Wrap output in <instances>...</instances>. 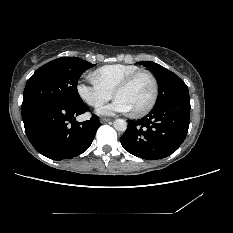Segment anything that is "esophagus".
I'll return each instance as SVG.
<instances>
[{
  "mask_svg": "<svg viewBox=\"0 0 233 233\" xmlns=\"http://www.w3.org/2000/svg\"><path fill=\"white\" fill-rule=\"evenodd\" d=\"M110 121H111V119H109V118H101L100 119L101 123H107V122H110Z\"/></svg>",
  "mask_w": 233,
  "mask_h": 233,
  "instance_id": "34e87169",
  "label": "esophagus"
}]
</instances>
